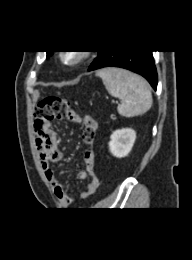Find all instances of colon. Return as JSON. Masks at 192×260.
Returning <instances> with one entry per match:
<instances>
[{
	"instance_id": "obj_1",
	"label": "colon",
	"mask_w": 192,
	"mask_h": 260,
	"mask_svg": "<svg viewBox=\"0 0 192 260\" xmlns=\"http://www.w3.org/2000/svg\"><path fill=\"white\" fill-rule=\"evenodd\" d=\"M73 112L70 110L69 102L65 98L47 96L39 102L35 116L37 122H49L53 119L67 118ZM82 139L86 144H91L94 139V132L85 128L82 133Z\"/></svg>"
}]
</instances>
